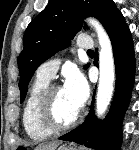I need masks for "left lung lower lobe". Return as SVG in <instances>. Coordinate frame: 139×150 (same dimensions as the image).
<instances>
[{"mask_svg": "<svg viewBox=\"0 0 139 150\" xmlns=\"http://www.w3.org/2000/svg\"><path fill=\"white\" fill-rule=\"evenodd\" d=\"M104 27L112 42L116 69L115 96L110 112L103 121L97 120L93 111V96L86 120L59 139L73 141L97 150H119L122 139L121 123L134 83V48L130 30L116 6L110 10ZM95 60L97 61V49Z\"/></svg>", "mask_w": 139, "mask_h": 150, "instance_id": "left-lung-lower-lobe-1", "label": "left lung lower lobe"}]
</instances>
